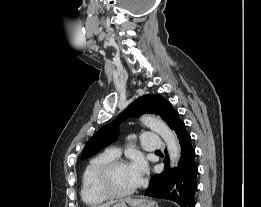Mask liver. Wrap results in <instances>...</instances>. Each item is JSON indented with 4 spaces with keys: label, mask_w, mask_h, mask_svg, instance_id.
Masks as SVG:
<instances>
[{
    "label": "liver",
    "mask_w": 261,
    "mask_h": 207,
    "mask_svg": "<svg viewBox=\"0 0 261 207\" xmlns=\"http://www.w3.org/2000/svg\"><path fill=\"white\" fill-rule=\"evenodd\" d=\"M116 201H111V202H107L105 204H102L100 206H97V207H110L112 204H114Z\"/></svg>",
    "instance_id": "obj_1"
}]
</instances>
